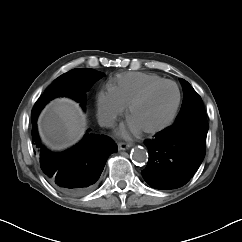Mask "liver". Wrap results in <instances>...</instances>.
Returning a JSON list of instances; mask_svg holds the SVG:
<instances>
[{"mask_svg": "<svg viewBox=\"0 0 242 242\" xmlns=\"http://www.w3.org/2000/svg\"><path fill=\"white\" fill-rule=\"evenodd\" d=\"M38 125L43 140L61 149L80 140L86 130V118L76 102L59 98L44 109Z\"/></svg>", "mask_w": 242, "mask_h": 242, "instance_id": "obj_1", "label": "liver"}]
</instances>
